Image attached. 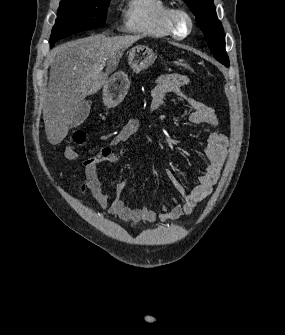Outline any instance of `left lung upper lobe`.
<instances>
[{
  "mask_svg": "<svg viewBox=\"0 0 285 335\" xmlns=\"http://www.w3.org/2000/svg\"><path fill=\"white\" fill-rule=\"evenodd\" d=\"M185 2L194 13L196 22L203 31L215 59L229 67L223 26L217 18L213 0H185Z\"/></svg>",
  "mask_w": 285,
  "mask_h": 335,
  "instance_id": "left-lung-upper-lobe-1",
  "label": "left lung upper lobe"
}]
</instances>
